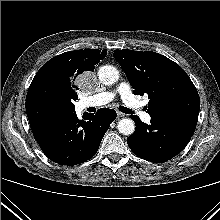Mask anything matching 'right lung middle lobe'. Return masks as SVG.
Wrapping results in <instances>:
<instances>
[{
	"label": "right lung middle lobe",
	"mask_w": 220,
	"mask_h": 220,
	"mask_svg": "<svg viewBox=\"0 0 220 220\" xmlns=\"http://www.w3.org/2000/svg\"><path fill=\"white\" fill-rule=\"evenodd\" d=\"M76 90H78V87L74 85L73 81H62L52 77H45L32 81L26 101H45L74 109L73 102L78 99Z\"/></svg>",
	"instance_id": "obj_1"
}]
</instances>
